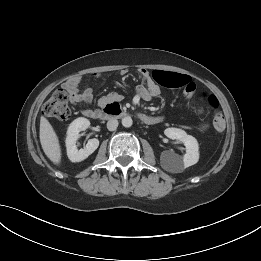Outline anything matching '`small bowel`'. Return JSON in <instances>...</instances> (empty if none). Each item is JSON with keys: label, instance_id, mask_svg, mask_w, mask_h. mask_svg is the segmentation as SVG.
<instances>
[{"label": "small bowel", "instance_id": "1", "mask_svg": "<svg viewBox=\"0 0 261 261\" xmlns=\"http://www.w3.org/2000/svg\"><path fill=\"white\" fill-rule=\"evenodd\" d=\"M140 75L142 83L136 87V95L146 101L160 93L159 85L170 88H182L186 99L191 98L196 89L190 77L184 74L156 70L151 75L147 70L143 69L140 71ZM95 76H98V74H95ZM81 82V77H73L64 84V89L69 93L73 103L89 104L93 100L92 89L88 86L81 88ZM115 98H117L115 95L105 96L101 99V103ZM90 111L93 110L86 108L83 110V114L87 116ZM150 119L151 122L161 120L159 117H150Z\"/></svg>", "mask_w": 261, "mask_h": 261}]
</instances>
